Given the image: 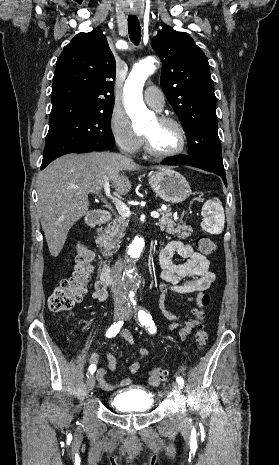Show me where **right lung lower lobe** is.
<instances>
[{
    "mask_svg": "<svg viewBox=\"0 0 279 465\" xmlns=\"http://www.w3.org/2000/svg\"><path fill=\"white\" fill-rule=\"evenodd\" d=\"M113 147H106V146H85L83 148H80L77 150L75 153H86V152H92L96 150H108ZM48 164H42L41 165V170H43Z\"/></svg>",
    "mask_w": 279,
    "mask_h": 465,
    "instance_id": "obj_1",
    "label": "right lung lower lobe"
}]
</instances>
